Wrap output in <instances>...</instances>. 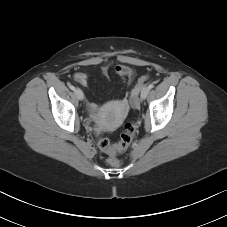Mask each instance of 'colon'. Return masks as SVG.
<instances>
[{
  "instance_id": "5ec220e1",
  "label": "colon",
  "mask_w": 227,
  "mask_h": 227,
  "mask_svg": "<svg viewBox=\"0 0 227 227\" xmlns=\"http://www.w3.org/2000/svg\"><path fill=\"white\" fill-rule=\"evenodd\" d=\"M148 80V76H142L136 87L132 92L134 96L138 90L144 85ZM135 135V126L132 123H127L124 125L123 131L120 135V140L116 144H111L110 141L102 136L98 137V146L101 150L108 154L107 162L113 167H118L122 164V161L117 157V154L124 151L132 142Z\"/></svg>"
}]
</instances>
